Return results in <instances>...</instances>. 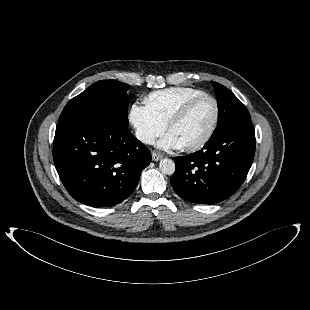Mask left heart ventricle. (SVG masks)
<instances>
[{
    "mask_svg": "<svg viewBox=\"0 0 310 310\" xmlns=\"http://www.w3.org/2000/svg\"><path fill=\"white\" fill-rule=\"evenodd\" d=\"M213 116V102L209 99L201 100L170 132L178 138L181 146L193 144L205 135L211 125Z\"/></svg>",
    "mask_w": 310,
    "mask_h": 310,
    "instance_id": "b2bd125f",
    "label": "left heart ventricle"
}]
</instances>
